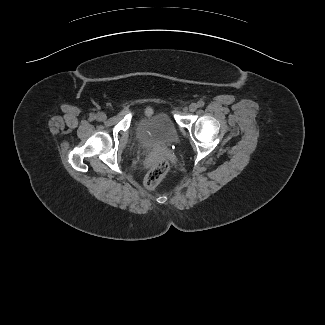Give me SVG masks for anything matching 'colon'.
I'll use <instances>...</instances> for the list:
<instances>
[{
  "label": "colon",
  "instance_id": "colon-1",
  "mask_svg": "<svg viewBox=\"0 0 325 325\" xmlns=\"http://www.w3.org/2000/svg\"><path fill=\"white\" fill-rule=\"evenodd\" d=\"M169 164L165 159H159L147 173L144 185L147 189H155L160 181L166 176Z\"/></svg>",
  "mask_w": 325,
  "mask_h": 325
}]
</instances>
